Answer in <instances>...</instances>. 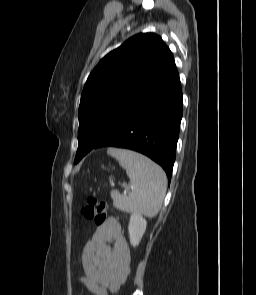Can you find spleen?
Returning a JSON list of instances; mask_svg holds the SVG:
<instances>
[{"label":"spleen","mask_w":256,"mask_h":295,"mask_svg":"<svg viewBox=\"0 0 256 295\" xmlns=\"http://www.w3.org/2000/svg\"><path fill=\"white\" fill-rule=\"evenodd\" d=\"M107 153L125 168L131 182L129 195L111 191L113 205L125 212H139L147 217L158 214L166 194L164 170L146 156L130 150L108 148Z\"/></svg>","instance_id":"obj_1"}]
</instances>
